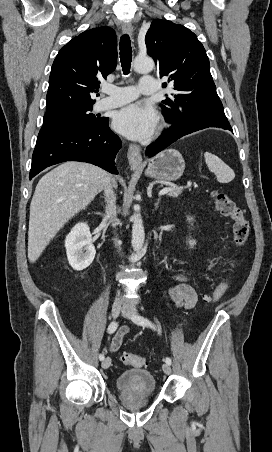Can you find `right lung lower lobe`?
I'll list each match as a JSON object with an SVG mask.
<instances>
[{"label":"right lung lower lobe","instance_id":"98d812e1","mask_svg":"<svg viewBox=\"0 0 272 452\" xmlns=\"http://www.w3.org/2000/svg\"><path fill=\"white\" fill-rule=\"evenodd\" d=\"M108 124V118L92 125L43 124L33 152L29 179L45 168L65 161L92 163L118 174L114 159L122 143Z\"/></svg>","mask_w":272,"mask_h":452}]
</instances>
